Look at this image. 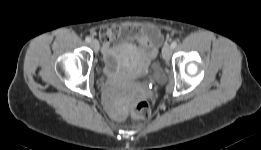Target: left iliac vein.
Returning a JSON list of instances; mask_svg holds the SVG:
<instances>
[{
  "mask_svg": "<svg viewBox=\"0 0 261 150\" xmlns=\"http://www.w3.org/2000/svg\"><path fill=\"white\" fill-rule=\"evenodd\" d=\"M172 55V47L168 43L163 46L162 56L165 61H169Z\"/></svg>",
  "mask_w": 261,
  "mask_h": 150,
  "instance_id": "4c4485c4",
  "label": "left iliac vein"
}]
</instances>
